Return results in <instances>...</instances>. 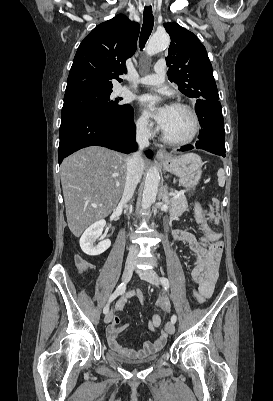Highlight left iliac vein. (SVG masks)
<instances>
[{
	"label": "left iliac vein",
	"instance_id": "left-iliac-vein-1",
	"mask_svg": "<svg viewBox=\"0 0 273 401\" xmlns=\"http://www.w3.org/2000/svg\"><path fill=\"white\" fill-rule=\"evenodd\" d=\"M137 273L142 279L148 281L149 283H151V284H153L155 286H158L159 283H160L158 275L154 270L149 269L146 272H142L140 270H137ZM165 330H166L167 333H169L171 335L174 334V332H175L174 323L169 321L165 326Z\"/></svg>",
	"mask_w": 273,
	"mask_h": 401
}]
</instances>
